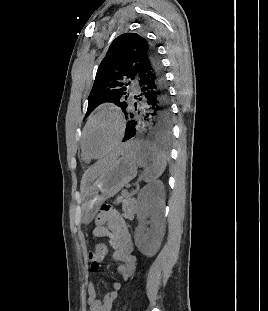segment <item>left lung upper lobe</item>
Instances as JSON below:
<instances>
[{
    "label": "left lung upper lobe",
    "mask_w": 268,
    "mask_h": 311,
    "mask_svg": "<svg viewBox=\"0 0 268 311\" xmlns=\"http://www.w3.org/2000/svg\"><path fill=\"white\" fill-rule=\"evenodd\" d=\"M150 50L148 41L136 33L122 34L111 43L88 97L87 116L98 105L112 102L128 119L131 114L128 112L131 106L128 90L137 80L140 63L149 58Z\"/></svg>",
    "instance_id": "1"
}]
</instances>
